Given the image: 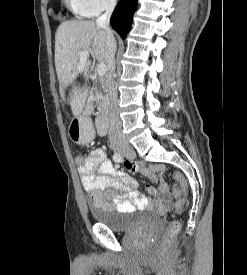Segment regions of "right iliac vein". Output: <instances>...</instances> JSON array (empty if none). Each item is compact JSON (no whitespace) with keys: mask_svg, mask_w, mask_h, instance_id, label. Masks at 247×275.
Masks as SVG:
<instances>
[{"mask_svg":"<svg viewBox=\"0 0 247 275\" xmlns=\"http://www.w3.org/2000/svg\"><path fill=\"white\" fill-rule=\"evenodd\" d=\"M118 151H122V149H117Z\"/></svg>","mask_w":247,"mask_h":275,"instance_id":"63e3f726","label":"right iliac vein"}]
</instances>
